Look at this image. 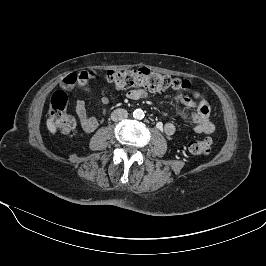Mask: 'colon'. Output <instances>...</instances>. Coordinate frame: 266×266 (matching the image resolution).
Instances as JSON below:
<instances>
[{"instance_id": "obj_1", "label": "colon", "mask_w": 266, "mask_h": 266, "mask_svg": "<svg viewBox=\"0 0 266 266\" xmlns=\"http://www.w3.org/2000/svg\"><path fill=\"white\" fill-rule=\"evenodd\" d=\"M93 75L90 72H81L79 74H71L67 76L50 99L49 117L52 123L63 132H71L77 126L76 119L67 114L66 109L69 103V95L67 91L74 85L87 88L89 81ZM105 79L119 89H129L137 86L148 88L152 91H175L190 92L191 86L187 80L172 78L163 75L146 67L138 69L126 70H110L106 73ZM198 98L197 95H193ZM212 147L211 138L195 139L189 143V151L194 155H207Z\"/></svg>"}]
</instances>
